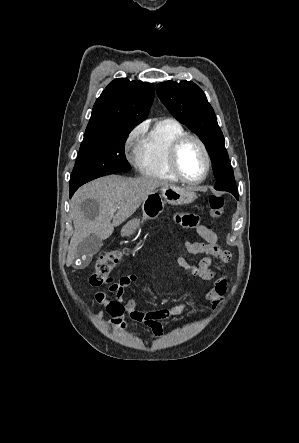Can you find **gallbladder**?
Returning <instances> with one entry per match:
<instances>
[{
  "label": "gallbladder",
  "mask_w": 299,
  "mask_h": 443,
  "mask_svg": "<svg viewBox=\"0 0 299 443\" xmlns=\"http://www.w3.org/2000/svg\"><path fill=\"white\" fill-rule=\"evenodd\" d=\"M102 246V240L92 234L79 243L76 248V258L81 259L82 266H85L99 252Z\"/></svg>",
  "instance_id": "bac80fb5"
}]
</instances>
